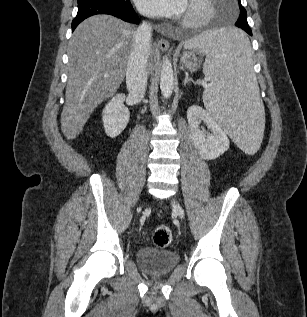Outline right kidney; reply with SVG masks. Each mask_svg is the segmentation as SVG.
Wrapping results in <instances>:
<instances>
[{
  "label": "right kidney",
  "instance_id": "1",
  "mask_svg": "<svg viewBox=\"0 0 307 317\" xmlns=\"http://www.w3.org/2000/svg\"><path fill=\"white\" fill-rule=\"evenodd\" d=\"M126 96L117 94L106 104L102 112V120L107 136L117 137L128 124L130 118L129 109L124 105Z\"/></svg>",
  "mask_w": 307,
  "mask_h": 317
}]
</instances>
